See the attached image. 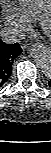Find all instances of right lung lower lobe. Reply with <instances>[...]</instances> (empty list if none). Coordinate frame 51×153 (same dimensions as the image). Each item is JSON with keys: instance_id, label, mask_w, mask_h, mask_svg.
Returning <instances> with one entry per match:
<instances>
[{"instance_id": "right-lung-lower-lobe-1", "label": "right lung lower lobe", "mask_w": 51, "mask_h": 153, "mask_svg": "<svg viewBox=\"0 0 51 153\" xmlns=\"http://www.w3.org/2000/svg\"><path fill=\"white\" fill-rule=\"evenodd\" d=\"M21 51L18 43L9 45L0 39V87L8 81L12 74V62Z\"/></svg>"}]
</instances>
